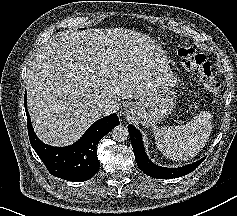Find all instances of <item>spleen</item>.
Listing matches in <instances>:
<instances>
[{"instance_id":"spleen-1","label":"spleen","mask_w":237,"mask_h":216,"mask_svg":"<svg viewBox=\"0 0 237 216\" xmlns=\"http://www.w3.org/2000/svg\"><path fill=\"white\" fill-rule=\"evenodd\" d=\"M208 113L199 114L186 124L153 128L159 151L173 160H184L197 155L205 146L212 131Z\"/></svg>"}]
</instances>
